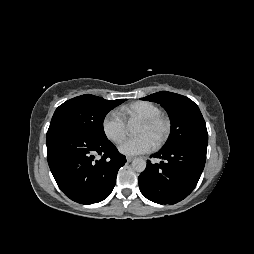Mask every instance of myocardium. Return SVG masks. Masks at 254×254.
Listing matches in <instances>:
<instances>
[{
    "label": "myocardium",
    "instance_id": "f54148a6",
    "mask_svg": "<svg viewBox=\"0 0 254 254\" xmlns=\"http://www.w3.org/2000/svg\"><path fill=\"white\" fill-rule=\"evenodd\" d=\"M141 123L148 125V126H155L158 124H162L164 127V131L162 136L155 142V145L157 147L161 146L162 144H164L167 139L170 136L171 133V122L170 120L163 116V115H157V116H153V117H149V118H145L141 120Z\"/></svg>",
    "mask_w": 254,
    "mask_h": 254
}]
</instances>
